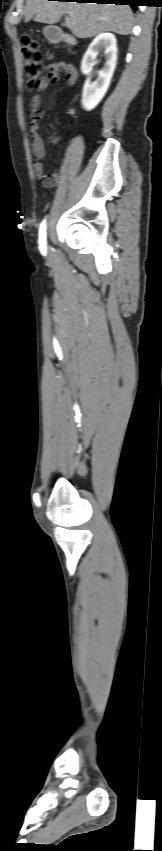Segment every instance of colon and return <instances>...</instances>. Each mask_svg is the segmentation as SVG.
I'll return each instance as SVG.
<instances>
[{
	"label": "colon",
	"mask_w": 162,
	"mask_h": 851,
	"mask_svg": "<svg viewBox=\"0 0 162 851\" xmlns=\"http://www.w3.org/2000/svg\"><path fill=\"white\" fill-rule=\"evenodd\" d=\"M20 42L23 71L27 80V87L29 90H32L36 87L42 73V56L38 43L29 35H23Z\"/></svg>",
	"instance_id": "obj_1"
}]
</instances>
